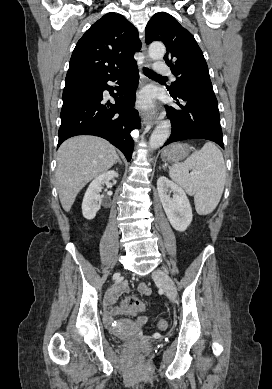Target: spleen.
<instances>
[{"label": "spleen", "mask_w": 272, "mask_h": 389, "mask_svg": "<svg viewBox=\"0 0 272 389\" xmlns=\"http://www.w3.org/2000/svg\"><path fill=\"white\" fill-rule=\"evenodd\" d=\"M190 169L196 172L194 176L189 174ZM169 175L189 195H194L199 215H207L217 207L224 190L226 167L223 155L214 143L207 142L183 163L174 164Z\"/></svg>", "instance_id": "spleen-1"}]
</instances>
